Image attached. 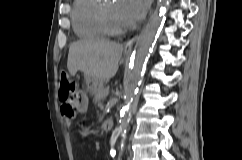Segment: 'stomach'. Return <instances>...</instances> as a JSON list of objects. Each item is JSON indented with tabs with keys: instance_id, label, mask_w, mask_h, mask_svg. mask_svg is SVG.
Here are the masks:
<instances>
[{
	"instance_id": "0dacf381",
	"label": "stomach",
	"mask_w": 242,
	"mask_h": 160,
	"mask_svg": "<svg viewBox=\"0 0 242 160\" xmlns=\"http://www.w3.org/2000/svg\"><path fill=\"white\" fill-rule=\"evenodd\" d=\"M85 85L91 95H96L103 88L102 81L89 76L85 77Z\"/></svg>"
}]
</instances>
